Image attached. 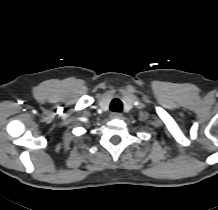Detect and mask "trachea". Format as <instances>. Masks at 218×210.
Here are the masks:
<instances>
[{
  "mask_svg": "<svg viewBox=\"0 0 218 210\" xmlns=\"http://www.w3.org/2000/svg\"><path fill=\"white\" fill-rule=\"evenodd\" d=\"M123 109V104L119 99L112 100L110 104V110L114 112H121Z\"/></svg>",
  "mask_w": 218,
  "mask_h": 210,
  "instance_id": "3493384b",
  "label": "trachea"
}]
</instances>
